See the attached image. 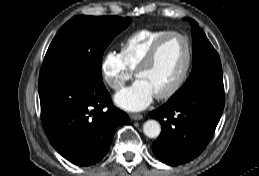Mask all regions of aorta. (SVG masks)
<instances>
[{
	"instance_id": "aorta-1",
	"label": "aorta",
	"mask_w": 259,
	"mask_h": 176,
	"mask_svg": "<svg viewBox=\"0 0 259 176\" xmlns=\"http://www.w3.org/2000/svg\"><path fill=\"white\" fill-rule=\"evenodd\" d=\"M143 132L149 138H157L161 132V126L156 120H148L143 125Z\"/></svg>"
}]
</instances>
